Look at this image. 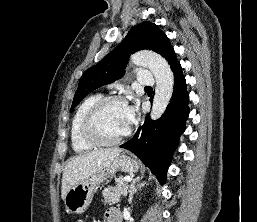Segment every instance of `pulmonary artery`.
Returning <instances> with one entry per match:
<instances>
[{
  "label": "pulmonary artery",
  "mask_w": 257,
  "mask_h": 222,
  "mask_svg": "<svg viewBox=\"0 0 257 222\" xmlns=\"http://www.w3.org/2000/svg\"><path fill=\"white\" fill-rule=\"evenodd\" d=\"M137 82L140 85H153L155 82V78L153 74L149 71H143L137 73Z\"/></svg>",
  "instance_id": "obj_1"
}]
</instances>
